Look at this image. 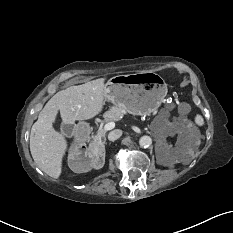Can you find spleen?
I'll return each instance as SVG.
<instances>
[{
    "label": "spleen",
    "mask_w": 233,
    "mask_h": 233,
    "mask_svg": "<svg viewBox=\"0 0 233 233\" xmlns=\"http://www.w3.org/2000/svg\"><path fill=\"white\" fill-rule=\"evenodd\" d=\"M195 123L198 126H202L204 124V120L201 115L197 114L195 117Z\"/></svg>",
    "instance_id": "1"
}]
</instances>
